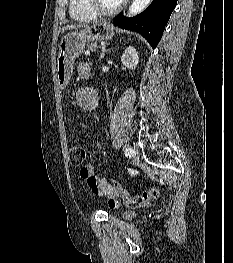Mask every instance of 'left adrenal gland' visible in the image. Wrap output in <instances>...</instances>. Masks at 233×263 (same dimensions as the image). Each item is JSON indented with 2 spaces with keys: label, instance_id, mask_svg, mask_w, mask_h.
<instances>
[{
  "label": "left adrenal gland",
  "instance_id": "obj_1",
  "mask_svg": "<svg viewBox=\"0 0 233 263\" xmlns=\"http://www.w3.org/2000/svg\"><path fill=\"white\" fill-rule=\"evenodd\" d=\"M108 45V44H107ZM107 46H103L102 50H101V54H100V61L103 59L105 52H107L109 49H106Z\"/></svg>",
  "mask_w": 233,
  "mask_h": 263
}]
</instances>
